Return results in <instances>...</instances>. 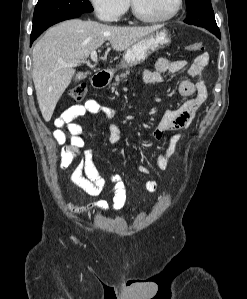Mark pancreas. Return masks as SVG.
I'll use <instances>...</instances> for the list:
<instances>
[{"mask_svg": "<svg viewBox=\"0 0 247 299\" xmlns=\"http://www.w3.org/2000/svg\"><path fill=\"white\" fill-rule=\"evenodd\" d=\"M129 74H130V71L127 70V71H125L124 73H122V74H120V75H116V77H115V82L113 83V85H114V86L119 85L120 81H122L123 78H126L127 75H129Z\"/></svg>", "mask_w": 247, "mask_h": 299, "instance_id": "pancreas-1", "label": "pancreas"}]
</instances>
